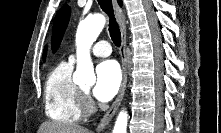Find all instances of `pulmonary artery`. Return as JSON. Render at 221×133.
I'll return each mask as SVG.
<instances>
[{
  "label": "pulmonary artery",
  "instance_id": "obj_1",
  "mask_svg": "<svg viewBox=\"0 0 221 133\" xmlns=\"http://www.w3.org/2000/svg\"><path fill=\"white\" fill-rule=\"evenodd\" d=\"M111 52H112L111 46H110L109 42H107V41H100V42L96 43L92 49L93 55H95L97 57H108L111 54ZM69 60L71 62H74L75 57L73 55H71L69 57Z\"/></svg>",
  "mask_w": 221,
  "mask_h": 133
}]
</instances>
